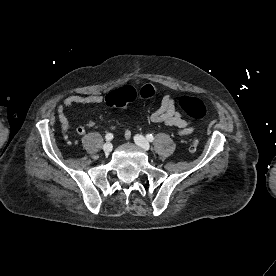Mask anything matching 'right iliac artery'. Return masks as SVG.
Returning a JSON list of instances; mask_svg holds the SVG:
<instances>
[{
  "label": "right iliac artery",
  "instance_id": "82829eb1",
  "mask_svg": "<svg viewBox=\"0 0 276 276\" xmlns=\"http://www.w3.org/2000/svg\"><path fill=\"white\" fill-rule=\"evenodd\" d=\"M105 138H106L107 141H110V140L113 139V134L112 133H107Z\"/></svg>",
  "mask_w": 276,
  "mask_h": 276
}]
</instances>
